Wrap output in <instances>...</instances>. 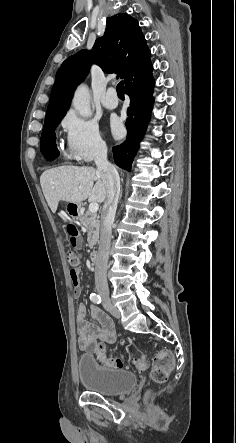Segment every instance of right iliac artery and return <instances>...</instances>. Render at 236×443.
Returning a JSON list of instances; mask_svg holds the SVG:
<instances>
[{"instance_id":"82829eb1","label":"right iliac artery","mask_w":236,"mask_h":443,"mask_svg":"<svg viewBox=\"0 0 236 443\" xmlns=\"http://www.w3.org/2000/svg\"><path fill=\"white\" fill-rule=\"evenodd\" d=\"M90 300H91L93 303H97V304L101 303V297H100L99 295L95 294V293H92V294L90 295Z\"/></svg>"}]
</instances>
